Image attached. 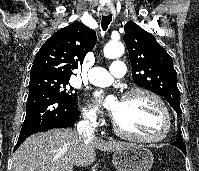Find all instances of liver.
I'll list each match as a JSON object with an SVG mask.
<instances>
[{"mask_svg":"<svg viewBox=\"0 0 199 171\" xmlns=\"http://www.w3.org/2000/svg\"><path fill=\"white\" fill-rule=\"evenodd\" d=\"M123 142L88 138L74 129H52L27 138L12 158V171H73L95 161V150L116 151Z\"/></svg>","mask_w":199,"mask_h":171,"instance_id":"obj_1","label":"liver"}]
</instances>
